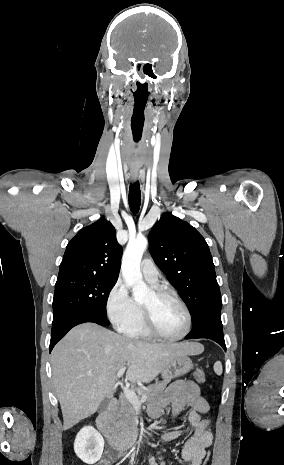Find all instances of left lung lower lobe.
I'll use <instances>...</instances> for the list:
<instances>
[{"label":"left lung lower lobe","instance_id":"left-lung-lower-lobe-1","mask_svg":"<svg viewBox=\"0 0 284 465\" xmlns=\"http://www.w3.org/2000/svg\"><path fill=\"white\" fill-rule=\"evenodd\" d=\"M194 338L211 339L221 345L226 351L221 314H212L200 319L186 336V339Z\"/></svg>","mask_w":284,"mask_h":465}]
</instances>
